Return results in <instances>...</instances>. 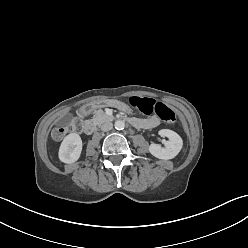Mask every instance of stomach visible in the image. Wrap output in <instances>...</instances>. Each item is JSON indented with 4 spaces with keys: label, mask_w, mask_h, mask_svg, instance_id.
Returning <instances> with one entry per match:
<instances>
[{
    "label": "stomach",
    "mask_w": 248,
    "mask_h": 248,
    "mask_svg": "<svg viewBox=\"0 0 248 248\" xmlns=\"http://www.w3.org/2000/svg\"><path fill=\"white\" fill-rule=\"evenodd\" d=\"M108 107H116L122 114H128L129 108L126 107L125 104L120 102L119 100H105L95 103L96 109L108 108Z\"/></svg>",
    "instance_id": "stomach-1"
}]
</instances>
